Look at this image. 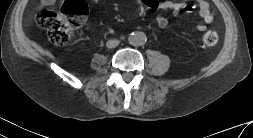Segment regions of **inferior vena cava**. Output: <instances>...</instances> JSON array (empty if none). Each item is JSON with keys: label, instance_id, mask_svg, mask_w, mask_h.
Masks as SVG:
<instances>
[{"label": "inferior vena cava", "instance_id": "obj_1", "mask_svg": "<svg viewBox=\"0 0 253 138\" xmlns=\"http://www.w3.org/2000/svg\"><path fill=\"white\" fill-rule=\"evenodd\" d=\"M120 41L117 40V39H111V40H108L107 43H106V46L108 48H115L119 45Z\"/></svg>", "mask_w": 253, "mask_h": 138}]
</instances>
